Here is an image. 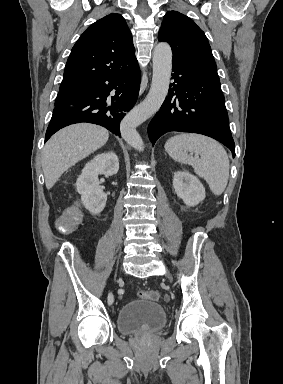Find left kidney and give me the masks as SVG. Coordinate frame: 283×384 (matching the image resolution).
<instances>
[{
    "label": "left kidney",
    "instance_id": "1",
    "mask_svg": "<svg viewBox=\"0 0 283 384\" xmlns=\"http://www.w3.org/2000/svg\"><path fill=\"white\" fill-rule=\"evenodd\" d=\"M173 188L178 198H181L186 206H197L202 200H205L204 186L196 176L189 174L187 170L175 172Z\"/></svg>",
    "mask_w": 283,
    "mask_h": 384
}]
</instances>
